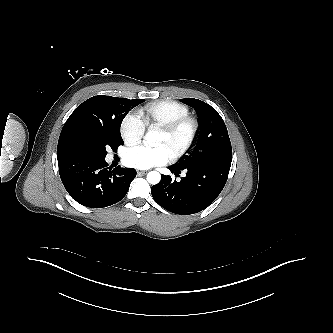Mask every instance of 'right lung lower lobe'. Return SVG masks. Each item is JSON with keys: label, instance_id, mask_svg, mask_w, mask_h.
<instances>
[{"label": "right lung lower lobe", "instance_id": "1", "mask_svg": "<svg viewBox=\"0 0 333 333\" xmlns=\"http://www.w3.org/2000/svg\"><path fill=\"white\" fill-rule=\"evenodd\" d=\"M59 174L70 196L81 205L102 208L115 204L126 195L135 169H112L105 158L70 152L58 158Z\"/></svg>", "mask_w": 333, "mask_h": 333}]
</instances>
